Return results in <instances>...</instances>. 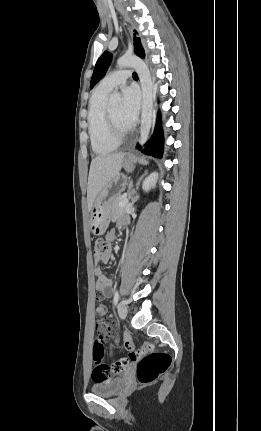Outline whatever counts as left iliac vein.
I'll use <instances>...</instances> for the list:
<instances>
[{"label": "left iliac vein", "mask_w": 261, "mask_h": 431, "mask_svg": "<svg viewBox=\"0 0 261 431\" xmlns=\"http://www.w3.org/2000/svg\"><path fill=\"white\" fill-rule=\"evenodd\" d=\"M118 314L121 319H125L127 316L128 308L124 301H120L118 304Z\"/></svg>", "instance_id": "4c4485c4"}]
</instances>
